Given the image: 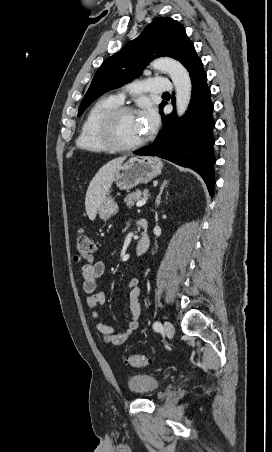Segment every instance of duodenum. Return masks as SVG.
Segmentation results:
<instances>
[{"label": "duodenum", "instance_id": "1", "mask_svg": "<svg viewBox=\"0 0 272 452\" xmlns=\"http://www.w3.org/2000/svg\"><path fill=\"white\" fill-rule=\"evenodd\" d=\"M140 228L142 229V236L139 240V242L136 245V255L138 257H141L149 248L150 246V237L148 234V223L146 219H141L138 222Z\"/></svg>", "mask_w": 272, "mask_h": 452}]
</instances>
